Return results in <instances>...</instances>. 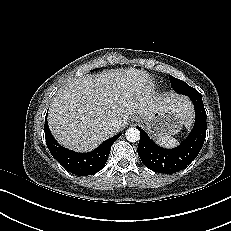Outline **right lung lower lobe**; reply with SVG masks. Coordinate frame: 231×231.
Listing matches in <instances>:
<instances>
[{
    "label": "right lung lower lobe",
    "instance_id": "98d812e1",
    "mask_svg": "<svg viewBox=\"0 0 231 231\" xmlns=\"http://www.w3.org/2000/svg\"><path fill=\"white\" fill-rule=\"evenodd\" d=\"M45 139L52 156L68 171L75 175L87 176L100 171L110 154L112 144L120 137L118 134L104 141L95 150L87 153H77L59 145L54 139L45 119Z\"/></svg>",
    "mask_w": 231,
    "mask_h": 231
}]
</instances>
